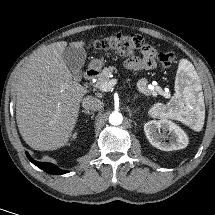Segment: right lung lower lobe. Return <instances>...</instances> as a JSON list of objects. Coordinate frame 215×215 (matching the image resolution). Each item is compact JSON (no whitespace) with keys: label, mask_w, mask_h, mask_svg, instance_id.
Returning <instances> with one entry per match:
<instances>
[{"label":"right lung lower lobe","mask_w":215,"mask_h":215,"mask_svg":"<svg viewBox=\"0 0 215 215\" xmlns=\"http://www.w3.org/2000/svg\"><path fill=\"white\" fill-rule=\"evenodd\" d=\"M26 155L34 165H36L37 167H39L40 169L44 170L49 174H64L67 172L66 170L59 169L57 166H55L52 163L35 161L34 159L31 158V156L27 152H26Z\"/></svg>","instance_id":"right-lung-lower-lobe-1"}]
</instances>
